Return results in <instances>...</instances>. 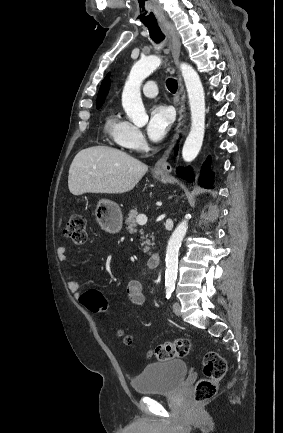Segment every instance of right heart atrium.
<instances>
[{
  "label": "right heart atrium",
  "mask_w": 283,
  "mask_h": 433,
  "mask_svg": "<svg viewBox=\"0 0 283 433\" xmlns=\"http://www.w3.org/2000/svg\"><path fill=\"white\" fill-rule=\"evenodd\" d=\"M121 146L123 145H134L137 147V150H142L145 148V140L141 131L128 123L125 131L122 135L117 139Z\"/></svg>",
  "instance_id": "d8ad5b80"
}]
</instances>
